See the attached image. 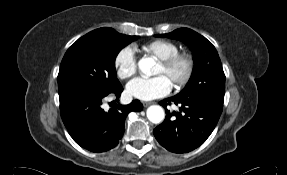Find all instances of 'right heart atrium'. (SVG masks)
I'll list each match as a JSON object with an SVG mask.
<instances>
[{
	"instance_id": "obj_1",
	"label": "right heart atrium",
	"mask_w": 287,
	"mask_h": 175,
	"mask_svg": "<svg viewBox=\"0 0 287 175\" xmlns=\"http://www.w3.org/2000/svg\"><path fill=\"white\" fill-rule=\"evenodd\" d=\"M114 67L119 78L126 80L137 72V59L135 50L131 46L121 48L115 58Z\"/></svg>"
}]
</instances>
